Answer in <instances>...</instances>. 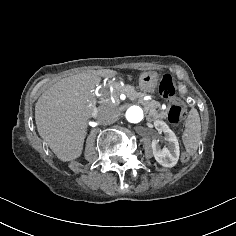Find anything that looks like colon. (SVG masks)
I'll use <instances>...</instances> for the list:
<instances>
[{"mask_svg": "<svg viewBox=\"0 0 236 236\" xmlns=\"http://www.w3.org/2000/svg\"><path fill=\"white\" fill-rule=\"evenodd\" d=\"M159 91L162 97L173 103L168 114V122L171 125L178 124L186 114V107L176 97L174 79L170 74H166L162 78L159 85Z\"/></svg>", "mask_w": 236, "mask_h": 236, "instance_id": "5ec220e1", "label": "colon"}]
</instances>
